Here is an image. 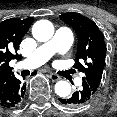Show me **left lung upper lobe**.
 <instances>
[{
  "instance_id": "left-lung-upper-lobe-1",
  "label": "left lung upper lobe",
  "mask_w": 117,
  "mask_h": 117,
  "mask_svg": "<svg viewBox=\"0 0 117 117\" xmlns=\"http://www.w3.org/2000/svg\"><path fill=\"white\" fill-rule=\"evenodd\" d=\"M60 18L77 34L78 52L74 67L85 74L82 78L83 85L88 86L95 94L100 86L105 64L104 35L92 20L79 13H65Z\"/></svg>"
}]
</instances>
